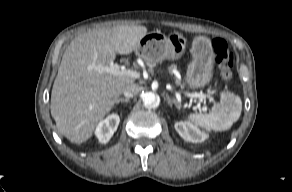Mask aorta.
Returning a JSON list of instances; mask_svg holds the SVG:
<instances>
[{
    "label": "aorta",
    "instance_id": "aorta-1",
    "mask_svg": "<svg viewBox=\"0 0 292 192\" xmlns=\"http://www.w3.org/2000/svg\"><path fill=\"white\" fill-rule=\"evenodd\" d=\"M143 104L147 108H156L160 103V98L154 92H146L142 96Z\"/></svg>",
    "mask_w": 292,
    "mask_h": 192
}]
</instances>
